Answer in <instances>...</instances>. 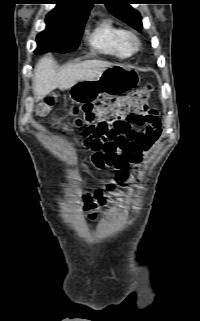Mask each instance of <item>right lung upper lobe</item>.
I'll use <instances>...</instances> for the list:
<instances>
[{"label": "right lung upper lobe", "mask_w": 200, "mask_h": 321, "mask_svg": "<svg viewBox=\"0 0 200 321\" xmlns=\"http://www.w3.org/2000/svg\"><path fill=\"white\" fill-rule=\"evenodd\" d=\"M57 6L48 14L55 17H65L74 14H86L92 8L93 0H56Z\"/></svg>", "instance_id": "right-lung-upper-lobe-1"}]
</instances>
